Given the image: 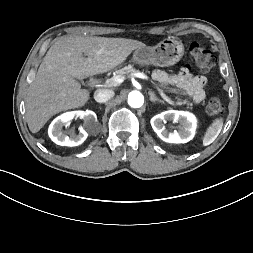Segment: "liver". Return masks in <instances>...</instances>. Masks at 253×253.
Here are the masks:
<instances>
[{
  "label": "liver",
  "instance_id": "1",
  "mask_svg": "<svg viewBox=\"0 0 253 253\" xmlns=\"http://www.w3.org/2000/svg\"><path fill=\"white\" fill-rule=\"evenodd\" d=\"M144 46L125 38H60L47 51L28 88L26 119L30 131L37 133L53 115L87 103L90 93L81 89L76 79L108 72Z\"/></svg>",
  "mask_w": 253,
  "mask_h": 253
}]
</instances>
